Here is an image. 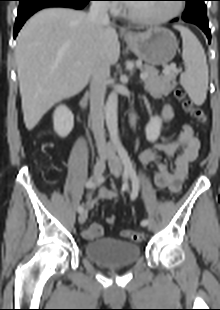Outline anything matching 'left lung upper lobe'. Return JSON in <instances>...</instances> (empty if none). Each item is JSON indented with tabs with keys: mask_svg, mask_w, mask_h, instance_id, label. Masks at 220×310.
<instances>
[{
	"mask_svg": "<svg viewBox=\"0 0 220 310\" xmlns=\"http://www.w3.org/2000/svg\"><path fill=\"white\" fill-rule=\"evenodd\" d=\"M186 1V9L182 18L190 21L208 22L206 15L205 0H184Z\"/></svg>",
	"mask_w": 220,
	"mask_h": 310,
	"instance_id": "1",
	"label": "left lung upper lobe"
}]
</instances>
